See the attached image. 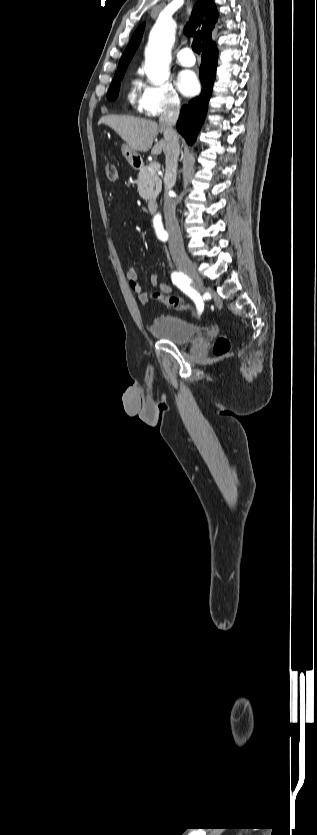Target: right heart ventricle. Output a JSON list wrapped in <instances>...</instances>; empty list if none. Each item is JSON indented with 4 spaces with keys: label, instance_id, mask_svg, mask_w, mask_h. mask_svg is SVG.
Wrapping results in <instances>:
<instances>
[{
    "label": "right heart ventricle",
    "instance_id": "obj_1",
    "mask_svg": "<svg viewBox=\"0 0 317 835\" xmlns=\"http://www.w3.org/2000/svg\"><path fill=\"white\" fill-rule=\"evenodd\" d=\"M135 87H136V83H134V84H133V86H132V88H131V90H130V92H129V95H128L129 100H130L131 102H133V101L136 99V91H135Z\"/></svg>",
    "mask_w": 317,
    "mask_h": 835
}]
</instances>
